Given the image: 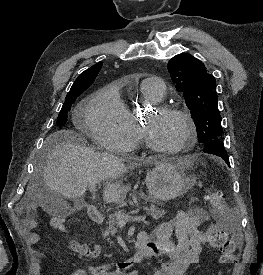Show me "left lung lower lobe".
<instances>
[{
	"mask_svg": "<svg viewBox=\"0 0 263 275\" xmlns=\"http://www.w3.org/2000/svg\"><path fill=\"white\" fill-rule=\"evenodd\" d=\"M204 152L217 155L224 159V161L227 163L228 166H230L229 163V156L223 146V143L219 140H212L204 145Z\"/></svg>",
	"mask_w": 263,
	"mask_h": 275,
	"instance_id": "1",
	"label": "left lung lower lobe"
}]
</instances>
